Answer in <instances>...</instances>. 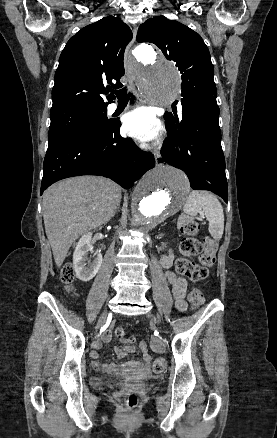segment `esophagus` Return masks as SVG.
Here are the masks:
<instances>
[{"label": "esophagus", "instance_id": "obj_1", "mask_svg": "<svg viewBox=\"0 0 277 438\" xmlns=\"http://www.w3.org/2000/svg\"><path fill=\"white\" fill-rule=\"evenodd\" d=\"M136 33H137V30H136V28L134 27V29H133V39H132V41L130 42V44L126 47V50H125V56H126V57H131V56H132L131 45H132V44L135 42V40H136ZM139 100H140V101H143L142 96H139Z\"/></svg>", "mask_w": 277, "mask_h": 438}]
</instances>
